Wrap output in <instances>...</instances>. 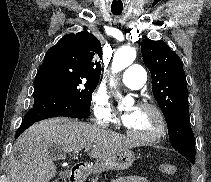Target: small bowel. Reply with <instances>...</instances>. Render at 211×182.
<instances>
[{
  "instance_id": "obj_1",
  "label": "small bowel",
  "mask_w": 211,
  "mask_h": 182,
  "mask_svg": "<svg viewBox=\"0 0 211 182\" xmlns=\"http://www.w3.org/2000/svg\"><path fill=\"white\" fill-rule=\"evenodd\" d=\"M113 182H147V181L139 176H120L115 180H113Z\"/></svg>"
}]
</instances>
